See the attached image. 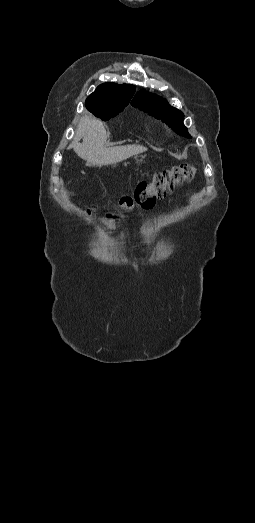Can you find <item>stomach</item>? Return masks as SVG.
Segmentation results:
<instances>
[{"mask_svg": "<svg viewBox=\"0 0 255 523\" xmlns=\"http://www.w3.org/2000/svg\"><path fill=\"white\" fill-rule=\"evenodd\" d=\"M137 164H141L142 160H136Z\"/></svg>", "mask_w": 255, "mask_h": 523, "instance_id": "obj_1", "label": "stomach"}]
</instances>
